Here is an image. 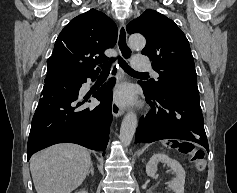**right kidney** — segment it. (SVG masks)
Returning <instances> with one entry per match:
<instances>
[{
    "mask_svg": "<svg viewBox=\"0 0 237 193\" xmlns=\"http://www.w3.org/2000/svg\"><path fill=\"white\" fill-rule=\"evenodd\" d=\"M74 193H88V192L85 190H82V191H78V192H74Z\"/></svg>",
    "mask_w": 237,
    "mask_h": 193,
    "instance_id": "1",
    "label": "right kidney"
}]
</instances>
